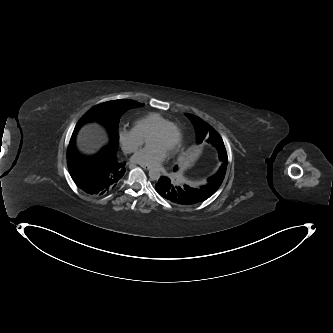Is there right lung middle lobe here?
Here are the masks:
<instances>
[{"mask_svg": "<svg viewBox=\"0 0 333 333\" xmlns=\"http://www.w3.org/2000/svg\"><path fill=\"white\" fill-rule=\"evenodd\" d=\"M140 106H143V104L129 99L113 100L96 105L82 116L75 127L74 133L76 134L79 128L87 122L98 121L103 123L108 127L112 135L110 147L116 150L118 146V124L120 117L128 109Z\"/></svg>", "mask_w": 333, "mask_h": 333, "instance_id": "dd1d6c3e", "label": "right lung middle lobe"}]
</instances>
